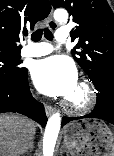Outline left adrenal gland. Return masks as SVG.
Instances as JSON below:
<instances>
[{
	"label": "left adrenal gland",
	"instance_id": "obj_1",
	"mask_svg": "<svg viewBox=\"0 0 114 156\" xmlns=\"http://www.w3.org/2000/svg\"><path fill=\"white\" fill-rule=\"evenodd\" d=\"M63 152H65V145H62L60 149V153L62 154Z\"/></svg>",
	"mask_w": 114,
	"mask_h": 156
}]
</instances>
